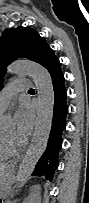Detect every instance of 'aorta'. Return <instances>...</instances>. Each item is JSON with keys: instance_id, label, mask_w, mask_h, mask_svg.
Wrapping results in <instances>:
<instances>
[{"instance_id": "762f6f07", "label": "aorta", "mask_w": 89, "mask_h": 203, "mask_svg": "<svg viewBox=\"0 0 89 203\" xmlns=\"http://www.w3.org/2000/svg\"><path fill=\"white\" fill-rule=\"evenodd\" d=\"M7 72L12 75L30 76L38 93V110L32 142L15 178L16 186L20 187L31 176L37 162L47 148L53 120L54 88L49 71L33 61H13L8 66Z\"/></svg>"}]
</instances>
